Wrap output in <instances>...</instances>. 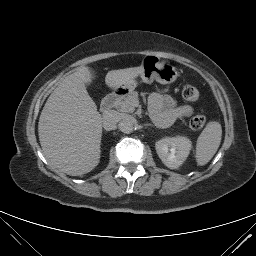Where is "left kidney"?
<instances>
[{"mask_svg":"<svg viewBox=\"0 0 256 256\" xmlns=\"http://www.w3.org/2000/svg\"><path fill=\"white\" fill-rule=\"evenodd\" d=\"M191 147V141L183 136L166 137L155 144L159 158L170 169H176L183 164Z\"/></svg>","mask_w":256,"mask_h":256,"instance_id":"1","label":"left kidney"}]
</instances>
